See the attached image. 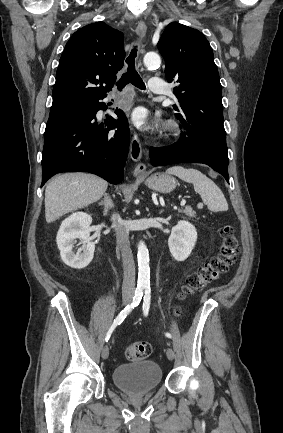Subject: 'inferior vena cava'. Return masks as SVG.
Here are the masks:
<instances>
[{"label":"inferior vena cava","instance_id":"1","mask_svg":"<svg viewBox=\"0 0 283 433\" xmlns=\"http://www.w3.org/2000/svg\"><path fill=\"white\" fill-rule=\"evenodd\" d=\"M116 231L117 245L121 251L123 261L124 279L122 285V293H134L135 291V265L130 249L129 231L124 227V223L120 221L119 214H113L112 217Z\"/></svg>","mask_w":283,"mask_h":433}]
</instances>
